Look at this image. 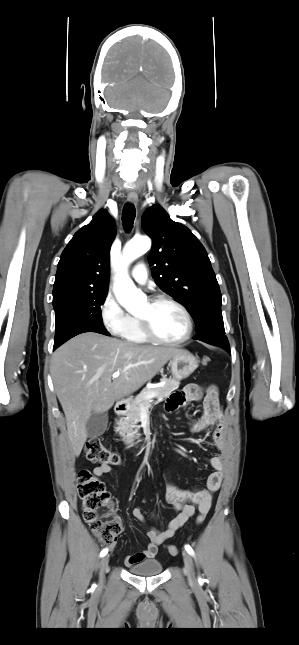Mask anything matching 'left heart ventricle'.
<instances>
[{
	"label": "left heart ventricle",
	"instance_id": "b2bd125f",
	"mask_svg": "<svg viewBox=\"0 0 299 645\" xmlns=\"http://www.w3.org/2000/svg\"><path fill=\"white\" fill-rule=\"evenodd\" d=\"M138 315L147 316L153 331L163 339H178L186 331V321L183 314L171 304L160 303L151 306L146 301Z\"/></svg>",
	"mask_w": 299,
	"mask_h": 645
}]
</instances>
